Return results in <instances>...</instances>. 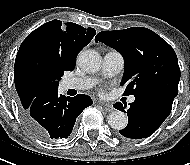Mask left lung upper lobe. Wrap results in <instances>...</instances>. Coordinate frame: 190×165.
Wrapping results in <instances>:
<instances>
[{
	"label": "left lung upper lobe",
	"instance_id": "obj_1",
	"mask_svg": "<svg viewBox=\"0 0 190 165\" xmlns=\"http://www.w3.org/2000/svg\"><path fill=\"white\" fill-rule=\"evenodd\" d=\"M124 58L121 86L125 95L162 93L176 97L180 68L173 48L155 32L144 27L102 31L95 37Z\"/></svg>",
	"mask_w": 190,
	"mask_h": 165
}]
</instances>
